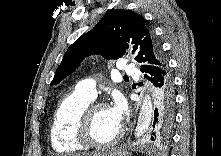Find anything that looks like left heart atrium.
<instances>
[{"label":"left heart atrium","instance_id":"39dd6f15","mask_svg":"<svg viewBox=\"0 0 221 156\" xmlns=\"http://www.w3.org/2000/svg\"><path fill=\"white\" fill-rule=\"evenodd\" d=\"M108 112L113 122L116 125L121 126L122 120L126 113L125 102L121 98H116L113 104L108 107Z\"/></svg>","mask_w":221,"mask_h":156}]
</instances>
